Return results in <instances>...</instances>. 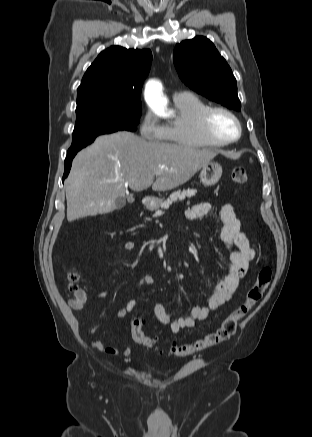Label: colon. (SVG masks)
I'll return each instance as SVG.
<instances>
[{
	"mask_svg": "<svg viewBox=\"0 0 312 437\" xmlns=\"http://www.w3.org/2000/svg\"><path fill=\"white\" fill-rule=\"evenodd\" d=\"M231 179L236 184H245L248 174L245 167H235L231 173ZM272 268L269 265L263 266L257 275L256 281L248 290L244 301L221 323L214 331L191 343L174 344L169 349V354L175 357H185L206 348L218 345L230 339L236 332L239 321L246 316L249 310L258 303L272 280ZM78 274L69 271L66 274V290L70 294V302L74 308H80L86 303V294L78 284ZM143 318L134 314L130 320V335L132 340L145 347H154L155 340L147 336L143 331Z\"/></svg>",
	"mask_w": 312,
	"mask_h": 437,
	"instance_id": "1",
	"label": "colon"
}]
</instances>
